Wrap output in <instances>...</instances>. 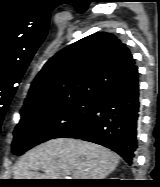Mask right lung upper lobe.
<instances>
[{
    "mask_svg": "<svg viewBox=\"0 0 160 187\" xmlns=\"http://www.w3.org/2000/svg\"><path fill=\"white\" fill-rule=\"evenodd\" d=\"M135 61L111 33L87 36L56 53L32 82L21 112L79 98H98Z\"/></svg>",
    "mask_w": 160,
    "mask_h": 187,
    "instance_id": "right-lung-upper-lobe-1",
    "label": "right lung upper lobe"
}]
</instances>
